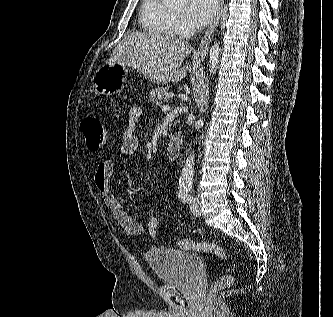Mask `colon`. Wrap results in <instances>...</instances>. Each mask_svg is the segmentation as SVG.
Returning <instances> with one entry per match:
<instances>
[{
  "mask_svg": "<svg viewBox=\"0 0 333 317\" xmlns=\"http://www.w3.org/2000/svg\"><path fill=\"white\" fill-rule=\"evenodd\" d=\"M81 129L86 139L87 147L91 150H100L104 148L108 142V134L101 119L97 115L86 116L82 123ZM149 233L152 237H155L159 229V219L152 218L149 222ZM180 249L211 253L222 261L227 260L226 250L218 244L212 242H198L188 239H181L178 241ZM233 282L232 277L225 273L216 283L217 288L229 287Z\"/></svg>",
  "mask_w": 333,
  "mask_h": 317,
  "instance_id": "5ec220e1",
  "label": "colon"
}]
</instances>
